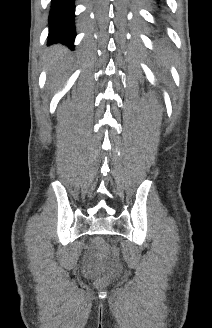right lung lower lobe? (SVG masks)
<instances>
[{
  "label": "right lung lower lobe",
  "mask_w": 212,
  "mask_h": 328,
  "mask_svg": "<svg viewBox=\"0 0 212 328\" xmlns=\"http://www.w3.org/2000/svg\"><path fill=\"white\" fill-rule=\"evenodd\" d=\"M74 0H51L49 15V43L60 42L73 48L75 39Z\"/></svg>",
  "instance_id": "obj_1"
}]
</instances>
